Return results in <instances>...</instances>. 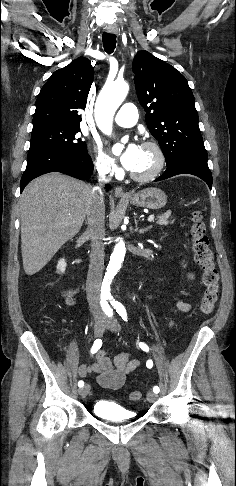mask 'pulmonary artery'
Segmentation results:
<instances>
[{
	"mask_svg": "<svg viewBox=\"0 0 236 486\" xmlns=\"http://www.w3.org/2000/svg\"><path fill=\"white\" fill-rule=\"evenodd\" d=\"M138 120V111L134 104L125 103L115 116V123L122 127H132Z\"/></svg>",
	"mask_w": 236,
	"mask_h": 486,
	"instance_id": "e3ab8cb5",
	"label": "pulmonary artery"
}]
</instances>
